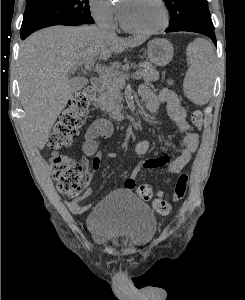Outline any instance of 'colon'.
I'll return each mask as SVG.
<instances>
[{"label":"colon","mask_w":245,"mask_h":300,"mask_svg":"<svg viewBox=\"0 0 245 300\" xmlns=\"http://www.w3.org/2000/svg\"><path fill=\"white\" fill-rule=\"evenodd\" d=\"M95 96L92 87H87L76 92L70 99L68 106L61 112L53 131L49 137L48 146L52 151L50 163L53 178L58 190L71 198L77 197L88 184L90 177L82 163L74 160L60 150L69 146L78 134L82 126V118L87 114L89 105ZM192 122L196 127H201L203 114L196 110L192 113ZM188 187V176L180 174L176 180L173 200L180 201L184 198ZM138 196L143 200H150L153 189L148 184H142L137 189ZM154 209L160 215H168L171 205L167 201L158 198L153 203Z\"/></svg>","instance_id":"1"}]
</instances>
